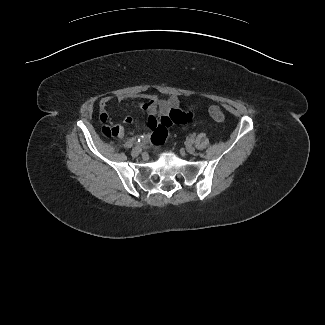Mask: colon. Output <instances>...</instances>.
I'll return each instance as SVG.
<instances>
[{
  "label": "colon",
  "instance_id": "obj_1",
  "mask_svg": "<svg viewBox=\"0 0 325 325\" xmlns=\"http://www.w3.org/2000/svg\"><path fill=\"white\" fill-rule=\"evenodd\" d=\"M208 110H209V113H210L211 117L215 121H217V122H223L224 121V119H225L224 114L221 112L219 107L212 105V106L209 107ZM117 132H118V130L115 127H105L103 129V134L105 136H108V137L116 136Z\"/></svg>",
  "mask_w": 325,
  "mask_h": 325
}]
</instances>
